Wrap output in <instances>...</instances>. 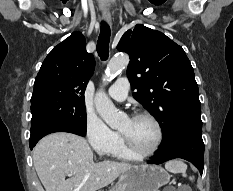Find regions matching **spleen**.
Here are the masks:
<instances>
[{"instance_id":"spleen-1","label":"spleen","mask_w":233,"mask_h":191,"mask_svg":"<svg viewBox=\"0 0 233 191\" xmlns=\"http://www.w3.org/2000/svg\"><path fill=\"white\" fill-rule=\"evenodd\" d=\"M166 170L171 173H181L183 177H186L187 165L180 160H171L165 164ZM190 180H193V177H190Z\"/></svg>"}]
</instances>
